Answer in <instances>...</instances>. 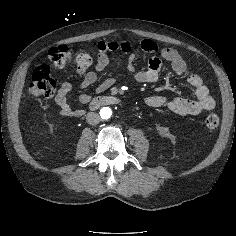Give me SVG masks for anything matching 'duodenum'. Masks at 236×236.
<instances>
[{"instance_id":"obj_1","label":"duodenum","mask_w":236,"mask_h":236,"mask_svg":"<svg viewBox=\"0 0 236 236\" xmlns=\"http://www.w3.org/2000/svg\"><path fill=\"white\" fill-rule=\"evenodd\" d=\"M117 103H119V99L117 97L101 95L91 99L89 105L92 109H95L102 106L114 105Z\"/></svg>"}]
</instances>
